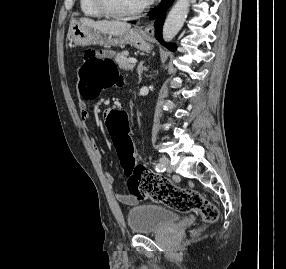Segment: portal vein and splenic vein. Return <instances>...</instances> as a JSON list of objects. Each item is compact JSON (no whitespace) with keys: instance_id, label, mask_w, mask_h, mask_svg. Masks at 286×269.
<instances>
[{"instance_id":"obj_1","label":"portal vein and splenic vein","mask_w":286,"mask_h":269,"mask_svg":"<svg viewBox=\"0 0 286 269\" xmlns=\"http://www.w3.org/2000/svg\"><path fill=\"white\" fill-rule=\"evenodd\" d=\"M129 61H130V63H132V64H136V63H137V60H136L135 58H131Z\"/></svg>"}]
</instances>
